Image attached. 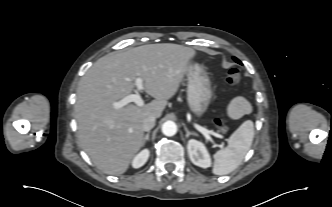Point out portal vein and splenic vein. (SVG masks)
Listing matches in <instances>:
<instances>
[{"label": "portal vein and splenic vein", "mask_w": 332, "mask_h": 207, "mask_svg": "<svg viewBox=\"0 0 332 207\" xmlns=\"http://www.w3.org/2000/svg\"><path fill=\"white\" fill-rule=\"evenodd\" d=\"M135 85L137 88L136 94H129L126 97H124L123 99H121L120 101L114 103V108L119 109L124 107L125 105L134 102L137 106L142 107L144 106V101L140 95V92L144 90V85H143V81L141 78H136L135 79ZM196 129L201 132L205 138L209 141H212V138L210 137V131L205 129L202 126L196 125L195 126ZM220 148H224L223 144L218 145Z\"/></svg>", "instance_id": "portal-vein-and-splenic-vein-1"}]
</instances>
